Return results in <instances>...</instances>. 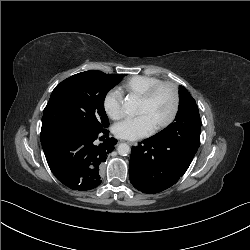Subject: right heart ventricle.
I'll return each mask as SVG.
<instances>
[{
  "label": "right heart ventricle",
  "mask_w": 250,
  "mask_h": 250,
  "mask_svg": "<svg viewBox=\"0 0 250 250\" xmlns=\"http://www.w3.org/2000/svg\"><path fill=\"white\" fill-rule=\"evenodd\" d=\"M159 82L161 79L155 76H132L121 84L120 90L129 96L140 97L147 89Z\"/></svg>",
  "instance_id": "obj_1"
}]
</instances>
